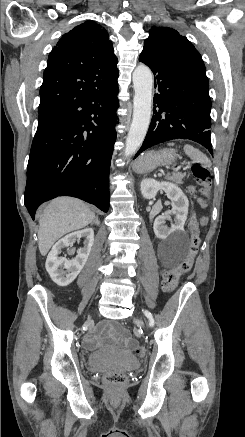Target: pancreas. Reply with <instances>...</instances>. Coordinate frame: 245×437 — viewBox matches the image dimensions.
Instances as JSON below:
<instances>
[{
    "label": "pancreas",
    "mask_w": 245,
    "mask_h": 437,
    "mask_svg": "<svg viewBox=\"0 0 245 437\" xmlns=\"http://www.w3.org/2000/svg\"><path fill=\"white\" fill-rule=\"evenodd\" d=\"M184 176H185V174H182L180 172H176V173H173L171 176H168L167 179L171 180L177 184H182V180H183Z\"/></svg>",
    "instance_id": "1"
}]
</instances>
